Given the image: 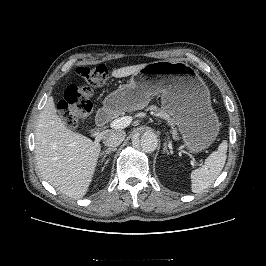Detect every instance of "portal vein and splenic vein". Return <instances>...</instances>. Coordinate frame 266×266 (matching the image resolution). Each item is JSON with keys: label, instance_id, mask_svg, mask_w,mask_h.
Masks as SVG:
<instances>
[{"label": "portal vein and splenic vein", "instance_id": "18ae733b", "mask_svg": "<svg viewBox=\"0 0 266 266\" xmlns=\"http://www.w3.org/2000/svg\"><path fill=\"white\" fill-rule=\"evenodd\" d=\"M132 118L129 116L115 119L111 122L110 126L114 129H124L130 125ZM193 164L196 163L194 160L191 161Z\"/></svg>", "mask_w": 266, "mask_h": 266}]
</instances>
